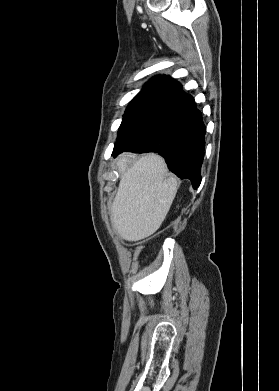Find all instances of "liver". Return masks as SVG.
Wrapping results in <instances>:
<instances>
[{
  "label": "liver",
  "mask_w": 279,
  "mask_h": 391,
  "mask_svg": "<svg viewBox=\"0 0 279 391\" xmlns=\"http://www.w3.org/2000/svg\"><path fill=\"white\" fill-rule=\"evenodd\" d=\"M124 153L116 161L120 183L111 206V222L122 239L139 241L155 233L164 221L177 192L164 159L147 154L131 163Z\"/></svg>",
  "instance_id": "liver-1"
}]
</instances>
